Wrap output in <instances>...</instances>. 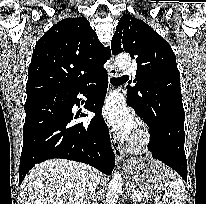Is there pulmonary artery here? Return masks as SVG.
<instances>
[{
  "label": "pulmonary artery",
  "mask_w": 206,
  "mask_h": 204,
  "mask_svg": "<svg viewBox=\"0 0 206 204\" xmlns=\"http://www.w3.org/2000/svg\"><path fill=\"white\" fill-rule=\"evenodd\" d=\"M134 68H130L126 73H133L134 72Z\"/></svg>",
  "instance_id": "pulmonary-artery-1"
}]
</instances>
